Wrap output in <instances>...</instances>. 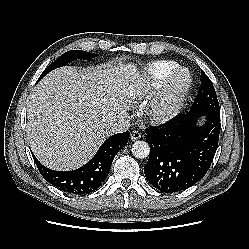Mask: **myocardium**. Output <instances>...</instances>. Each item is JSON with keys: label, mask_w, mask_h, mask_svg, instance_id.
<instances>
[{"label": "myocardium", "mask_w": 249, "mask_h": 249, "mask_svg": "<svg viewBox=\"0 0 249 249\" xmlns=\"http://www.w3.org/2000/svg\"><path fill=\"white\" fill-rule=\"evenodd\" d=\"M180 75H184L185 80L177 86L176 81ZM192 83L193 77L188 68L178 66L172 70L148 106L147 115L150 120L161 124L177 115L187 99Z\"/></svg>", "instance_id": "myocardium-1"}]
</instances>
